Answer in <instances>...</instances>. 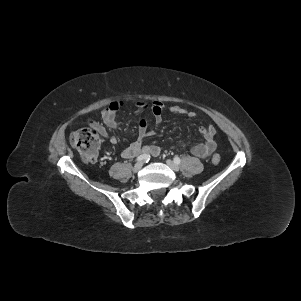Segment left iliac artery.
I'll list each match as a JSON object with an SVG mask.
<instances>
[{
    "label": "left iliac artery",
    "mask_w": 301,
    "mask_h": 301,
    "mask_svg": "<svg viewBox=\"0 0 301 301\" xmlns=\"http://www.w3.org/2000/svg\"><path fill=\"white\" fill-rule=\"evenodd\" d=\"M173 160L176 164H180V162H181V160L178 156H175Z\"/></svg>",
    "instance_id": "obj_1"
}]
</instances>
